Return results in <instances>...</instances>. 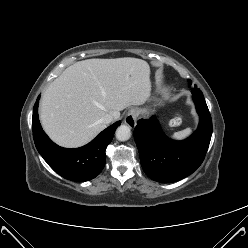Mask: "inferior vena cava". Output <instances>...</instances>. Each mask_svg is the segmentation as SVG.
I'll list each match as a JSON object with an SVG mask.
<instances>
[{"label":"inferior vena cava","mask_w":248,"mask_h":248,"mask_svg":"<svg viewBox=\"0 0 248 248\" xmlns=\"http://www.w3.org/2000/svg\"><path fill=\"white\" fill-rule=\"evenodd\" d=\"M113 119L114 117L111 114H107L101 119V122L104 124H109L113 121Z\"/></svg>","instance_id":"obj_1"}]
</instances>
